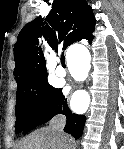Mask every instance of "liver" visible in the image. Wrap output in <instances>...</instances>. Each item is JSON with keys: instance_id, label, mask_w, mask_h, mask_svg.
<instances>
[{"instance_id": "6515ba94", "label": "liver", "mask_w": 124, "mask_h": 149, "mask_svg": "<svg viewBox=\"0 0 124 149\" xmlns=\"http://www.w3.org/2000/svg\"><path fill=\"white\" fill-rule=\"evenodd\" d=\"M68 139L71 138L68 136ZM62 142L63 140L56 137L51 127H46L33 132L24 139L21 149H62V146H64Z\"/></svg>"}]
</instances>
